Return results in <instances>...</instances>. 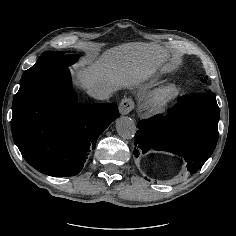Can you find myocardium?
<instances>
[{
    "label": "myocardium",
    "instance_id": "myocardium-1",
    "mask_svg": "<svg viewBox=\"0 0 236 236\" xmlns=\"http://www.w3.org/2000/svg\"><path fill=\"white\" fill-rule=\"evenodd\" d=\"M176 96V87L171 85L160 87L143 97L140 104V110L146 116H157L169 106Z\"/></svg>",
    "mask_w": 236,
    "mask_h": 236
}]
</instances>
